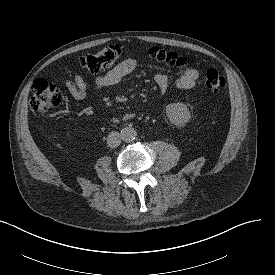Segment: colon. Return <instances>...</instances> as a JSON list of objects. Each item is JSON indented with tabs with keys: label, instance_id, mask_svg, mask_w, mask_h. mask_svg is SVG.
<instances>
[{
	"label": "colon",
	"instance_id": "obj_1",
	"mask_svg": "<svg viewBox=\"0 0 275 275\" xmlns=\"http://www.w3.org/2000/svg\"><path fill=\"white\" fill-rule=\"evenodd\" d=\"M119 45H107L99 51L85 54L81 57V64L92 73H98L113 66L121 57ZM147 54L169 66L181 68L186 65L185 58L173 51H167L157 46H151ZM205 85L213 93H217L225 86L224 76L216 69H209L205 76ZM63 98L61 90L45 79H36L32 86L31 109L38 114L45 113L49 108L57 106Z\"/></svg>",
	"mask_w": 275,
	"mask_h": 275
}]
</instances>
